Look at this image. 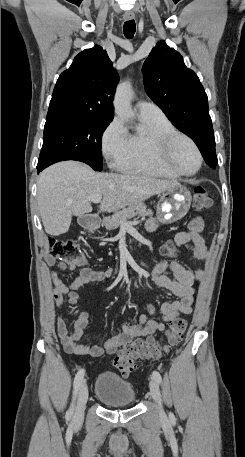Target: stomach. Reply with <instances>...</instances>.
Segmentation results:
<instances>
[{
	"label": "stomach",
	"mask_w": 245,
	"mask_h": 457,
	"mask_svg": "<svg viewBox=\"0 0 245 457\" xmlns=\"http://www.w3.org/2000/svg\"><path fill=\"white\" fill-rule=\"evenodd\" d=\"M191 198L190 190L186 186H182V184H176V186H171V188L164 190L158 200L156 210L159 222L170 224V222L183 218L190 208ZM78 222L89 233L99 229L98 222L90 220L88 216H79Z\"/></svg>",
	"instance_id": "0dacf381"
}]
</instances>
